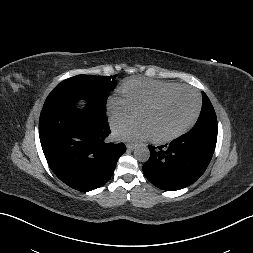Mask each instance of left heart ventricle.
Segmentation results:
<instances>
[{"label":"left heart ventricle","instance_id":"left-heart-ventricle-1","mask_svg":"<svg viewBox=\"0 0 253 253\" xmlns=\"http://www.w3.org/2000/svg\"><path fill=\"white\" fill-rule=\"evenodd\" d=\"M196 98L188 91L176 92L156 106L140 113L152 137L168 136L184 126L193 116Z\"/></svg>","mask_w":253,"mask_h":253}]
</instances>
